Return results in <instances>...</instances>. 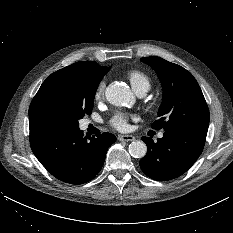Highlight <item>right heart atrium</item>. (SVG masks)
Returning <instances> with one entry per match:
<instances>
[{"label":"right heart atrium","mask_w":233,"mask_h":233,"mask_svg":"<svg viewBox=\"0 0 233 233\" xmlns=\"http://www.w3.org/2000/svg\"><path fill=\"white\" fill-rule=\"evenodd\" d=\"M104 91H105V83L101 81L98 83L94 93L95 100H101L104 97Z\"/></svg>","instance_id":"right-heart-atrium-1"}]
</instances>
